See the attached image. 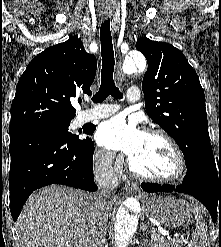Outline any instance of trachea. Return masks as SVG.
I'll list each match as a JSON object with an SVG mask.
<instances>
[{"instance_id": "obj_1", "label": "trachea", "mask_w": 221, "mask_h": 247, "mask_svg": "<svg viewBox=\"0 0 221 247\" xmlns=\"http://www.w3.org/2000/svg\"><path fill=\"white\" fill-rule=\"evenodd\" d=\"M100 41L102 53L101 85L99 91L92 98L94 103L103 102L109 95L115 99L123 98V94L116 87L113 80L115 60L109 19L101 24Z\"/></svg>"}]
</instances>
